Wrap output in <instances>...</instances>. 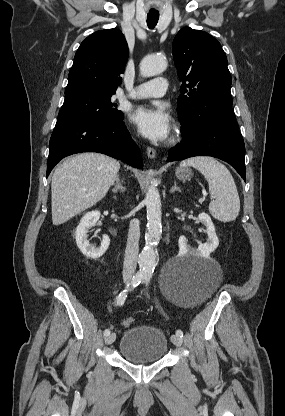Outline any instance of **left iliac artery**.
Masks as SVG:
<instances>
[{
    "label": "left iliac artery",
    "mask_w": 285,
    "mask_h": 416,
    "mask_svg": "<svg viewBox=\"0 0 285 416\" xmlns=\"http://www.w3.org/2000/svg\"><path fill=\"white\" fill-rule=\"evenodd\" d=\"M150 278H151V275H147V274L144 275V277H143L144 282H146V284H148ZM176 335H178L180 337H183V332L179 329V330L176 331Z\"/></svg>",
    "instance_id": "obj_1"
}]
</instances>
